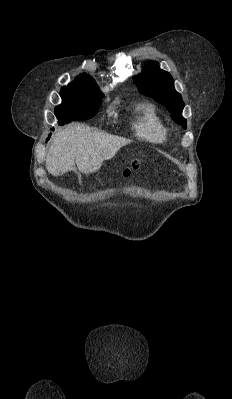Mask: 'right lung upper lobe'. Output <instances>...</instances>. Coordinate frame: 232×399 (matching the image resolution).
I'll list each match as a JSON object with an SVG mask.
<instances>
[{
	"label": "right lung upper lobe",
	"instance_id": "1",
	"mask_svg": "<svg viewBox=\"0 0 232 399\" xmlns=\"http://www.w3.org/2000/svg\"><path fill=\"white\" fill-rule=\"evenodd\" d=\"M60 94H87L104 96L92 77L84 73L80 74V77L75 78L68 86L62 87Z\"/></svg>",
	"mask_w": 232,
	"mask_h": 399
}]
</instances>
